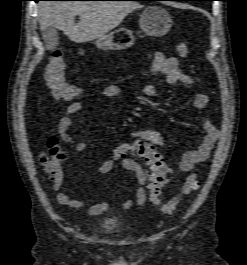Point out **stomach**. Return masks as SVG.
<instances>
[{
  "mask_svg": "<svg viewBox=\"0 0 247 265\" xmlns=\"http://www.w3.org/2000/svg\"><path fill=\"white\" fill-rule=\"evenodd\" d=\"M173 24L170 14L160 6H149L140 15L139 25L142 31L152 37L165 35ZM135 42L133 32L127 28H119L98 39L95 44L100 50H124Z\"/></svg>",
  "mask_w": 247,
  "mask_h": 265,
  "instance_id": "0dacf381",
  "label": "stomach"
}]
</instances>
